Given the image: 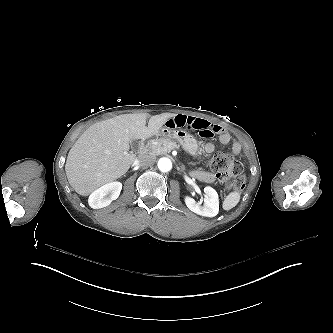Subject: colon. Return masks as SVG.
Instances as JSON below:
<instances>
[{
	"label": "colon",
	"mask_w": 333,
	"mask_h": 333,
	"mask_svg": "<svg viewBox=\"0 0 333 333\" xmlns=\"http://www.w3.org/2000/svg\"><path fill=\"white\" fill-rule=\"evenodd\" d=\"M209 168L216 173L217 182L225 191H241L245 185L243 165L228 151H216L208 161Z\"/></svg>",
	"instance_id": "obj_1"
}]
</instances>
